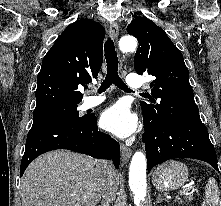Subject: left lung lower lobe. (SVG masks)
Wrapping results in <instances>:
<instances>
[{
  "label": "left lung lower lobe",
  "mask_w": 221,
  "mask_h": 206,
  "mask_svg": "<svg viewBox=\"0 0 221 206\" xmlns=\"http://www.w3.org/2000/svg\"><path fill=\"white\" fill-rule=\"evenodd\" d=\"M142 140L145 144L148 172L169 159L193 158L211 164L217 171V157L203 123H175L150 128L143 114Z\"/></svg>",
  "instance_id": "1"
}]
</instances>
